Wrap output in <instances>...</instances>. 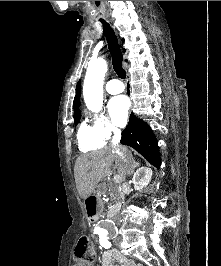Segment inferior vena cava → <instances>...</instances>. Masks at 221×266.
Returning <instances> with one entry per match:
<instances>
[{"instance_id": "602c4592", "label": "inferior vena cava", "mask_w": 221, "mask_h": 266, "mask_svg": "<svg viewBox=\"0 0 221 266\" xmlns=\"http://www.w3.org/2000/svg\"><path fill=\"white\" fill-rule=\"evenodd\" d=\"M113 132H114V136H113V139H112V146H113L114 150L116 151V154L125 163L126 173H127V175H129L131 173V171L135 167V161L128 154L126 148L118 144L120 142V139H121V131H120V129H114ZM113 219L115 220V222L117 224H119V219H120L119 215H114Z\"/></svg>"}]
</instances>
